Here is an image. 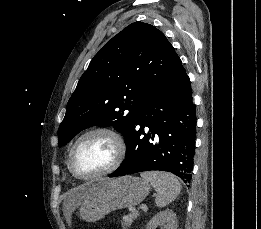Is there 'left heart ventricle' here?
I'll return each instance as SVG.
<instances>
[{
  "label": "left heart ventricle",
  "instance_id": "b2bd125f",
  "mask_svg": "<svg viewBox=\"0 0 261 229\" xmlns=\"http://www.w3.org/2000/svg\"><path fill=\"white\" fill-rule=\"evenodd\" d=\"M115 147L104 135H93L85 139L75 150L73 164L75 168L86 174L103 171L115 158Z\"/></svg>",
  "mask_w": 261,
  "mask_h": 229
}]
</instances>
